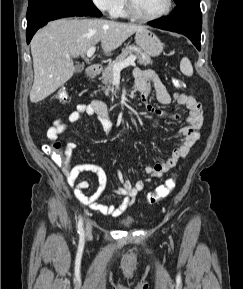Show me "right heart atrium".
<instances>
[{"instance_id": "right-heart-atrium-1", "label": "right heart atrium", "mask_w": 243, "mask_h": 289, "mask_svg": "<svg viewBox=\"0 0 243 289\" xmlns=\"http://www.w3.org/2000/svg\"><path fill=\"white\" fill-rule=\"evenodd\" d=\"M92 2L101 11L115 16L121 6L122 0H92Z\"/></svg>"}]
</instances>
